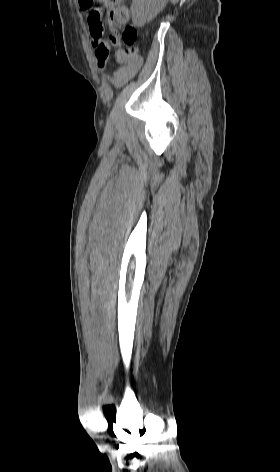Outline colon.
<instances>
[{"instance_id":"5ec220e1","label":"colon","mask_w":280,"mask_h":472,"mask_svg":"<svg viewBox=\"0 0 280 472\" xmlns=\"http://www.w3.org/2000/svg\"><path fill=\"white\" fill-rule=\"evenodd\" d=\"M120 0H113L112 2H119ZM82 5L83 7L87 8L90 10L89 16H88V22L90 24H98L101 22L102 18V8L100 7H95L93 8V2L94 0H82ZM121 39L126 46L125 48V53L128 56H133L136 55L137 50L135 47V42L137 40V30L133 25H127L124 27L122 33H121Z\"/></svg>"}]
</instances>
